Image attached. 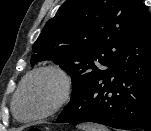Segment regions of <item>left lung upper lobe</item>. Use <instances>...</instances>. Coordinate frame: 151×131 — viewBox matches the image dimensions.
Instances as JSON below:
<instances>
[{
  "label": "left lung upper lobe",
  "instance_id": "5c2ea615",
  "mask_svg": "<svg viewBox=\"0 0 151 131\" xmlns=\"http://www.w3.org/2000/svg\"><path fill=\"white\" fill-rule=\"evenodd\" d=\"M142 0H67L33 45L31 64L53 60L72 77L74 98L128 48Z\"/></svg>",
  "mask_w": 151,
  "mask_h": 131
}]
</instances>
